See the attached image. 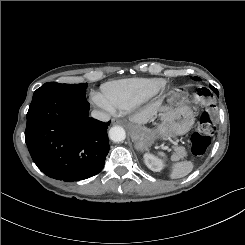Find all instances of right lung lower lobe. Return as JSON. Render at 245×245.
<instances>
[{"label":"right lung lower lobe","instance_id":"obj_1","mask_svg":"<svg viewBox=\"0 0 245 245\" xmlns=\"http://www.w3.org/2000/svg\"><path fill=\"white\" fill-rule=\"evenodd\" d=\"M86 94L47 92L32 99L25 141L37 167L67 182L98 174L109 152L107 128L88 117Z\"/></svg>","mask_w":245,"mask_h":245}]
</instances>
